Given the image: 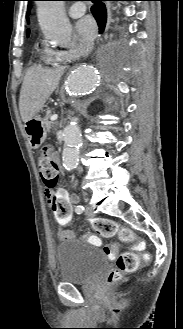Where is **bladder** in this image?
<instances>
[{
    "label": "bladder",
    "mask_w": 183,
    "mask_h": 329,
    "mask_svg": "<svg viewBox=\"0 0 183 329\" xmlns=\"http://www.w3.org/2000/svg\"><path fill=\"white\" fill-rule=\"evenodd\" d=\"M55 255L63 282L86 283L108 268V259L100 249L77 238L62 239Z\"/></svg>",
    "instance_id": "bladder-1"
}]
</instances>
